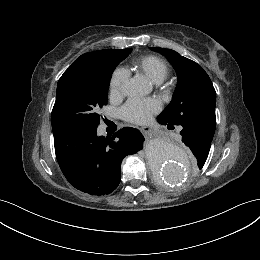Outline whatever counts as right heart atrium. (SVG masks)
<instances>
[{"mask_svg":"<svg viewBox=\"0 0 260 260\" xmlns=\"http://www.w3.org/2000/svg\"><path fill=\"white\" fill-rule=\"evenodd\" d=\"M128 76L129 74L124 68L114 70L109 84V92L112 97H118L122 94Z\"/></svg>","mask_w":260,"mask_h":260,"instance_id":"d8ad5b80","label":"right heart atrium"}]
</instances>
